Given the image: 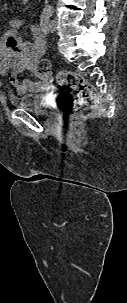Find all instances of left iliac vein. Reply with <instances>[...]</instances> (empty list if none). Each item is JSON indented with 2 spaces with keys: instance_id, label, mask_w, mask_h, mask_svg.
Instances as JSON below:
<instances>
[{
  "instance_id": "4c4485c4",
  "label": "left iliac vein",
  "mask_w": 127,
  "mask_h": 303,
  "mask_svg": "<svg viewBox=\"0 0 127 303\" xmlns=\"http://www.w3.org/2000/svg\"><path fill=\"white\" fill-rule=\"evenodd\" d=\"M56 28H57V21L55 19H53L50 23V31L55 32Z\"/></svg>"
}]
</instances>
